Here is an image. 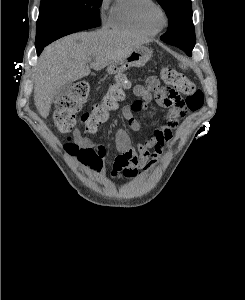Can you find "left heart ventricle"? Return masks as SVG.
Instances as JSON below:
<instances>
[{
    "label": "left heart ventricle",
    "instance_id": "1",
    "mask_svg": "<svg viewBox=\"0 0 245 300\" xmlns=\"http://www.w3.org/2000/svg\"><path fill=\"white\" fill-rule=\"evenodd\" d=\"M152 20L154 23L159 24L160 23V16L157 12L152 13Z\"/></svg>",
    "mask_w": 245,
    "mask_h": 300
}]
</instances>
